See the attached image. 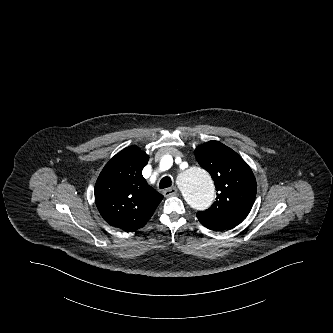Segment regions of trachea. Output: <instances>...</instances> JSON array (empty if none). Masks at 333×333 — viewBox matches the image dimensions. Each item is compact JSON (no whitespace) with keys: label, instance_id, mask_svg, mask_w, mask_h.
I'll return each instance as SVG.
<instances>
[{"label":"trachea","instance_id":"1","mask_svg":"<svg viewBox=\"0 0 333 333\" xmlns=\"http://www.w3.org/2000/svg\"><path fill=\"white\" fill-rule=\"evenodd\" d=\"M172 185V181L170 179V177H163L159 183V188L164 189V188H168Z\"/></svg>","mask_w":333,"mask_h":333}]
</instances>
